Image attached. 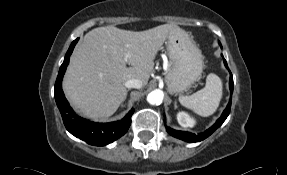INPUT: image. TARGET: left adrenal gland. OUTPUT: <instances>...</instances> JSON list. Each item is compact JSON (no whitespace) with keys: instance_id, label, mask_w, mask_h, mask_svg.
I'll list each match as a JSON object with an SVG mask.
<instances>
[{"instance_id":"obj_1","label":"left adrenal gland","mask_w":287,"mask_h":175,"mask_svg":"<svg viewBox=\"0 0 287 175\" xmlns=\"http://www.w3.org/2000/svg\"><path fill=\"white\" fill-rule=\"evenodd\" d=\"M174 107L177 108V100L174 102Z\"/></svg>"}]
</instances>
